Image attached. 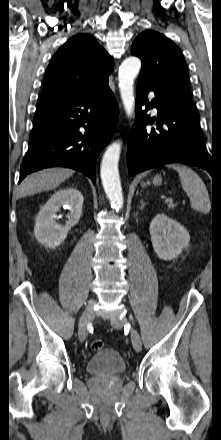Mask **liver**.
I'll return each instance as SVG.
<instances>
[{
    "label": "liver",
    "mask_w": 221,
    "mask_h": 440,
    "mask_svg": "<svg viewBox=\"0 0 221 440\" xmlns=\"http://www.w3.org/2000/svg\"><path fill=\"white\" fill-rule=\"evenodd\" d=\"M74 171L67 168H50L31 174L19 186L20 197L33 195L56 188L60 183L72 176Z\"/></svg>",
    "instance_id": "6515ba94"
}]
</instances>
